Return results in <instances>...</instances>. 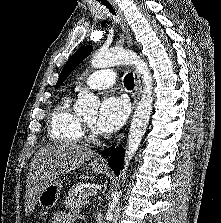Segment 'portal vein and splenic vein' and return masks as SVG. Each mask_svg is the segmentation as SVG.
I'll list each match as a JSON object with an SVG mask.
<instances>
[{"mask_svg": "<svg viewBox=\"0 0 221 223\" xmlns=\"http://www.w3.org/2000/svg\"><path fill=\"white\" fill-rule=\"evenodd\" d=\"M94 193H96V192L93 191V190H89V191L86 192V195H93Z\"/></svg>", "mask_w": 221, "mask_h": 223, "instance_id": "portal-vein-and-splenic-vein-1", "label": "portal vein and splenic vein"}]
</instances>
